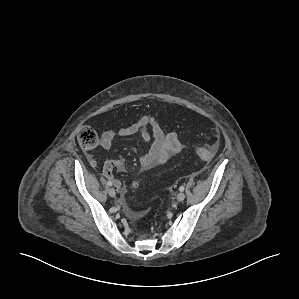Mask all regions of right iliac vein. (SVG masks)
<instances>
[{"label":"right iliac vein","instance_id":"63e3f726","mask_svg":"<svg viewBox=\"0 0 299 299\" xmlns=\"http://www.w3.org/2000/svg\"><path fill=\"white\" fill-rule=\"evenodd\" d=\"M108 194H109L111 197H115V195H116L115 189H114V188H109V189H108Z\"/></svg>","mask_w":299,"mask_h":299}]
</instances>
